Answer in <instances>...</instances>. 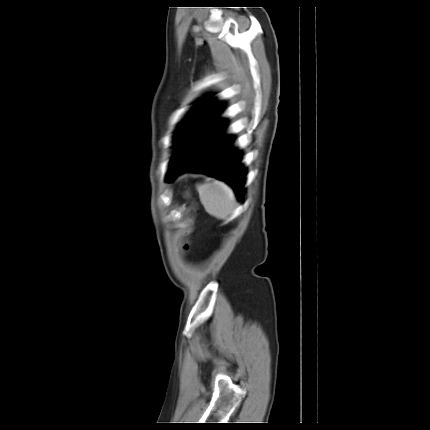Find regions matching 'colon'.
<instances>
[{
    "mask_svg": "<svg viewBox=\"0 0 430 430\" xmlns=\"http://www.w3.org/2000/svg\"><path fill=\"white\" fill-rule=\"evenodd\" d=\"M188 248H189V243H188V241H185L184 244H183L184 251H187Z\"/></svg>",
    "mask_w": 430,
    "mask_h": 430,
    "instance_id": "1",
    "label": "colon"
}]
</instances>
